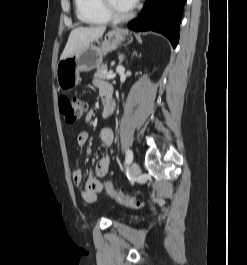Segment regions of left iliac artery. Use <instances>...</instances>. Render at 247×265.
Returning <instances> with one entry per match:
<instances>
[{"instance_id": "obj_1", "label": "left iliac artery", "mask_w": 247, "mask_h": 265, "mask_svg": "<svg viewBox=\"0 0 247 265\" xmlns=\"http://www.w3.org/2000/svg\"><path fill=\"white\" fill-rule=\"evenodd\" d=\"M132 160H133V153H132L131 150L128 149V150L126 151L125 163H126L127 165H129V164L132 162Z\"/></svg>"}]
</instances>
